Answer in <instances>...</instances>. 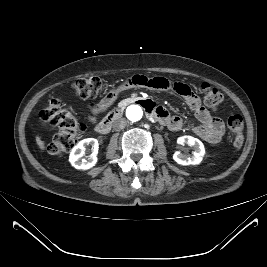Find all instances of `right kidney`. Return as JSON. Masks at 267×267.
Masks as SVG:
<instances>
[{
	"instance_id": "1",
	"label": "right kidney",
	"mask_w": 267,
	"mask_h": 267,
	"mask_svg": "<svg viewBox=\"0 0 267 267\" xmlns=\"http://www.w3.org/2000/svg\"><path fill=\"white\" fill-rule=\"evenodd\" d=\"M87 146H91L92 154L88 156V159H81L85 154ZM99 144L97 139L87 138L81 140L71 151L69 161L76 169L87 170L95 166L97 163V153Z\"/></svg>"
}]
</instances>
